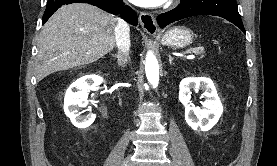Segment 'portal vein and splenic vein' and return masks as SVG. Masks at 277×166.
I'll use <instances>...</instances> for the list:
<instances>
[{"mask_svg": "<svg viewBox=\"0 0 277 166\" xmlns=\"http://www.w3.org/2000/svg\"><path fill=\"white\" fill-rule=\"evenodd\" d=\"M194 58H195V55L193 54L187 56V59H194Z\"/></svg>", "mask_w": 277, "mask_h": 166, "instance_id": "portal-vein-and-splenic-vein-1", "label": "portal vein and splenic vein"}]
</instances>
